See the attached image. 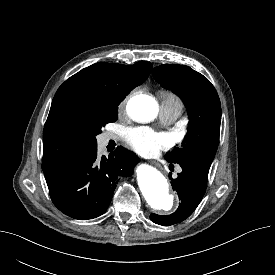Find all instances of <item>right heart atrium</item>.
I'll use <instances>...</instances> for the list:
<instances>
[{"mask_svg":"<svg viewBox=\"0 0 275 275\" xmlns=\"http://www.w3.org/2000/svg\"><path fill=\"white\" fill-rule=\"evenodd\" d=\"M127 101V97L123 99V101L120 103L119 108L123 109Z\"/></svg>","mask_w":275,"mask_h":275,"instance_id":"d8ad5b80","label":"right heart atrium"}]
</instances>
